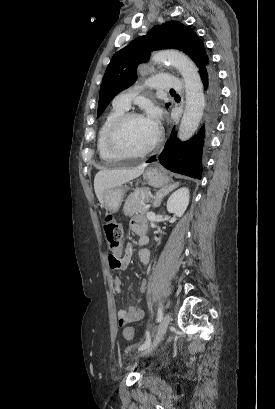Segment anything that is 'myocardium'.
Returning a JSON list of instances; mask_svg holds the SVG:
<instances>
[{
  "label": "myocardium",
  "instance_id": "obj_1",
  "mask_svg": "<svg viewBox=\"0 0 275 409\" xmlns=\"http://www.w3.org/2000/svg\"><path fill=\"white\" fill-rule=\"evenodd\" d=\"M136 119H145L142 114L136 112H127L118 117L111 126L107 137V149L111 157H139L150 153L159 143L161 138L160 130L156 129L154 138L150 143L139 150H124L118 147L117 140L123 127L130 121Z\"/></svg>",
  "mask_w": 275,
  "mask_h": 409
}]
</instances>
